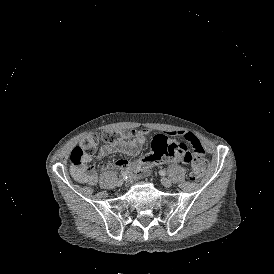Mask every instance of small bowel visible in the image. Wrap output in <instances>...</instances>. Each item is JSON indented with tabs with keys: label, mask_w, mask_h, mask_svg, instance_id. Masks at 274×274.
I'll list each match as a JSON object with an SVG mask.
<instances>
[{
	"label": "small bowel",
	"mask_w": 274,
	"mask_h": 274,
	"mask_svg": "<svg viewBox=\"0 0 274 274\" xmlns=\"http://www.w3.org/2000/svg\"><path fill=\"white\" fill-rule=\"evenodd\" d=\"M149 132L148 129H140L132 139H121L116 143H104L97 150L95 158L99 160L113 153H126L135 156L145 145ZM170 134L184 138V140L190 144L195 156L200 153L205 155V149L202 142L192 132L174 131ZM169 146L170 138L167 135H160L153 142L151 153H148L145 157H139L136 160V163H132L125 158H120L111 164H105L103 170L131 169L135 171L136 167L139 170H146L147 168L149 170V167L160 164L162 161L179 164L182 161V154L179 151L167 149ZM92 159L93 155L91 153H85L81 158L80 164L73 165L71 174L76 181L82 184H88L95 179V170L86 167Z\"/></svg>",
	"instance_id": "small-bowel-1"
}]
</instances>
